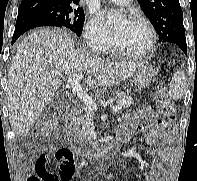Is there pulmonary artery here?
Returning <instances> with one entry per match:
<instances>
[{
    "label": "pulmonary artery",
    "mask_w": 197,
    "mask_h": 181,
    "mask_svg": "<svg viewBox=\"0 0 197 181\" xmlns=\"http://www.w3.org/2000/svg\"><path fill=\"white\" fill-rule=\"evenodd\" d=\"M111 1L119 5H127L131 2V0H111Z\"/></svg>",
    "instance_id": "pulmonary-artery-1"
}]
</instances>
